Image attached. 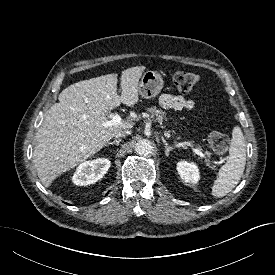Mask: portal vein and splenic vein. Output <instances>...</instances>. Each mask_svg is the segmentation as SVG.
<instances>
[{
	"instance_id": "1",
	"label": "portal vein and splenic vein",
	"mask_w": 275,
	"mask_h": 275,
	"mask_svg": "<svg viewBox=\"0 0 275 275\" xmlns=\"http://www.w3.org/2000/svg\"><path fill=\"white\" fill-rule=\"evenodd\" d=\"M110 118H111V120L107 121L105 123V126H112V125H115V124H120L122 122V118L120 117L119 114H112L110 116ZM192 151L195 154L199 155L201 158H204V154L200 150L192 147ZM220 163H221L220 161L215 162V164H220Z\"/></svg>"
}]
</instances>
